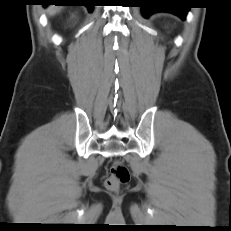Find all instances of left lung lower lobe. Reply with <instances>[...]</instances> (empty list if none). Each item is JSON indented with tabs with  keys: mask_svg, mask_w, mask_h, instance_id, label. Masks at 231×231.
<instances>
[{
	"mask_svg": "<svg viewBox=\"0 0 231 231\" xmlns=\"http://www.w3.org/2000/svg\"><path fill=\"white\" fill-rule=\"evenodd\" d=\"M139 4L145 18L155 12H170L184 20L189 9L182 0H139Z\"/></svg>",
	"mask_w": 231,
	"mask_h": 231,
	"instance_id": "0a47b994",
	"label": "left lung lower lobe"
}]
</instances>
